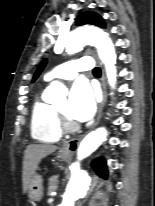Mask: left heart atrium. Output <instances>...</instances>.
Listing matches in <instances>:
<instances>
[{
  "instance_id": "left-heart-atrium-1",
  "label": "left heart atrium",
  "mask_w": 155,
  "mask_h": 206,
  "mask_svg": "<svg viewBox=\"0 0 155 206\" xmlns=\"http://www.w3.org/2000/svg\"><path fill=\"white\" fill-rule=\"evenodd\" d=\"M95 111V97L92 89L86 81L80 80L71 88L67 102V115L79 122L92 117Z\"/></svg>"
}]
</instances>
